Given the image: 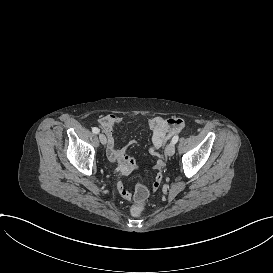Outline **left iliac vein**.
<instances>
[{
    "label": "left iliac vein",
    "mask_w": 273,
    "mask_h": 273,
    "mask_svg": "<svg viewBox=\"0 0 273 273\" xmlns=\"http://www.w3.org/2000/svg\"><path fill=\"white\" fill-rule=\"evenodd\" d=\"M174 153H175V146L173 143H169L165 149V154L170 157L174 155Z\"/></svg>",
    "instance_id": "1"
}]
</instances>
